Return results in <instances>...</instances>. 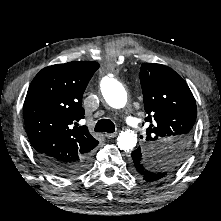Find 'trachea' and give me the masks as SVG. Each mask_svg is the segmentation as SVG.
Wrapping results in <instances>:
<instances>
[{
	"label": "trachea",
	"mask_w": 221,
	"mask_h": 221,
	"mask_svg": "<svg viewBox=\"0 0 221 221\" xmlns=\"http://www.w3.org/2000/svg\"><path fill=\"white\" fill-rule=\"evenodd\" d=\"M94 131L113 133V132H115V125L109 119H101L97 122V124L94 128Z\"/></svg>",
	"instance_id": "trachea-1"
}]
</instances>
